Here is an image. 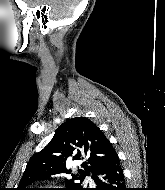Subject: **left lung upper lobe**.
<instances>
[{
    "mask_svg": "<svg viewBox=\"0 0 165 190\" xmlns=\"http://www.w3.org/2000/svg\"><path fill=\"white\" fill-rule=\"evenodd\" d=\"M115 154L109 140L88 118L68 119L59 126L49 144L29 160L17 190H32L25 187L51 175L70 173L71 170L66 169L69 161L82 163L78 174H72V179L66 180L67 187L63 190H86L74 181L82 182L89 173L92 177Z\"/></svg>",
    "mask_w": 165,
    "mask_h": 190,
    "instance_id": "left-lung-upper-lobe-1",
    "label": "left lung upper lobe"
}]
</instances>
